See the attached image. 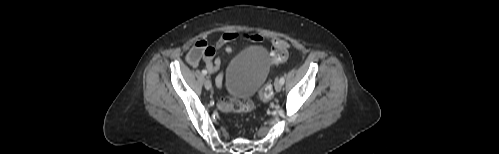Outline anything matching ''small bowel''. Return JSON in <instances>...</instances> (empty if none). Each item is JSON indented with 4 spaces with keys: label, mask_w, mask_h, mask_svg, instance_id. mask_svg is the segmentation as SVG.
I'll list each match as a JSON object with an SVG mask.
<instances>
[{
    "label": "small bowel",
    "mask_w": 499,
    "mask_h": 154,
    "mask_svg": "<svg viewBox=\"0 0 499 154\" xmlns=\"http://www.w3.org/2000/svg\"><path fill=\"white\" fill-rule=\"evenodd\" d=\"M237 39H245L253 42H260L263 38L260 34L252 31L226 32L216 41L215 48L218 50L224 49L226 53H230L232 52V47L229 46V44ZM205 61H206V67L210 73H215L219 71L221 65V61L219 58H211ZM196 63L197 60H194L193 65H196ZM222 75L223 72H220L217 78L219 85L222 80Z\"/></svg>",
    "instance_id": "small-bowel-1"
}]
</instances>
